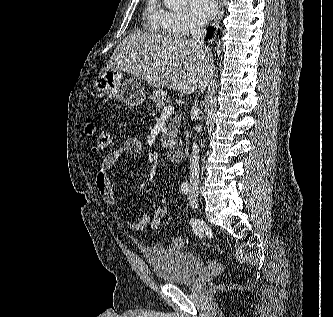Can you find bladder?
Returning <instances> with one entry per match:
<instances>
[{
  "mask_svg": "<svg viewBox=\"0 0 333 317\" xmlns=\"http://www.w3.org/2000/svg\"><path fill=\"white\" fill-rule=\"evenodd\" d=\"M145 258L158 279L170 284L194 281L204 264L198 255L158 245L148 248Z\"/></svg>",
  "mask_w": 333,
  "mask_h": 317,
  "instance_id": "31cf9c89",
  "label": "bladder"
}]
</instances>
